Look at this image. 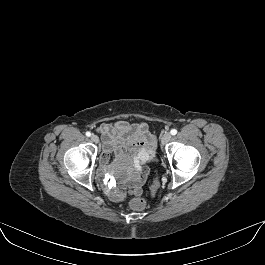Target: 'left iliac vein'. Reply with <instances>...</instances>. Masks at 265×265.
<instances>
[{
  "label": "left iliac vein",
  "instance_id": "1",
  "mask_svg": "<svg viewBox=\"0 0 265 265\" xmlns=\"http://www.w3.org/2000/svg\"><path fill=\"white\" fill-rule=\"evenodd\" d=\"M170 140H171V134H170L169 132H165V133L162 135V138H161V142H162V144H166V143H168Z\"/></svg>",
  "mask_w": 265,
  "mask_h": 265
}]
</instances>
